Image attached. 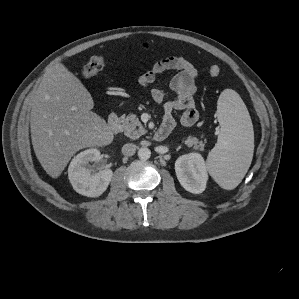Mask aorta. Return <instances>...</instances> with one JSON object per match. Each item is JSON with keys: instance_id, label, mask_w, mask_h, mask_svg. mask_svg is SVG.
I'll list each match as a JSON object with an SVG mask.
<instances>
[{"instance_id": "1", "label": "aorta", "mask_w": 299, "mask_h": 299, "mask_svg": "<svg viewBox=\"0 0 299 299\" xmlns=\"http://www.w3.org/2000/svg\"><path fill=\"white\" fill-rule=\"evenodd\" d=\"M151 156V151L150 149L146 148V147H142L138 150V157L141 160H147L149 159Z\"/></svg>"}]
</instances>
